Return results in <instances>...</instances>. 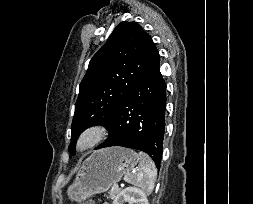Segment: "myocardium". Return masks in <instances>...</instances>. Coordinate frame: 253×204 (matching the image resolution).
Returning <instances> with one entry per match:
<instances>
[{"label": "myocardium", "mask_w": 253, "mask_h": 204, "mask_svg": "<svg viewBox=\"0 0 253 204\" xmlns=\"http://www.w3.org/2000/svg\"><path fill=\"white\" fill-rule=\"evenodd\" d=\"M108 129L102 124H93L82 130L75 141V149L79 153H87L108 137Z\"/></svg>", "instance_id": "f54148a6"}]
</instances>
